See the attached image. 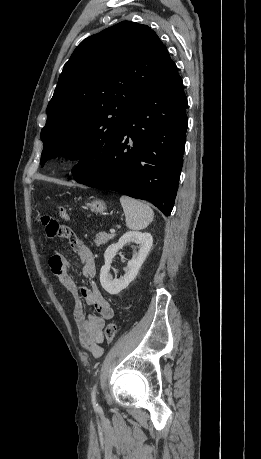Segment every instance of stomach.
I'll return each instance as SVG.
<instances>
[{
  "label": "stomach",
  "mask_w": 261,
  "mask_h": 459,
  "mask_svg": "<svg viewBox=\"0 0 261 459\" xmlns=\"http://www.w3.org/2000/svg\"><path fill=\"white\" fill-rule=\"evenodd\" d=\"M91 211L94 213H103L106 210V205L102 200L96 199L88 204Z\"/></svg>",
  "instance_id": "stomach-1"
}]
</instances>
